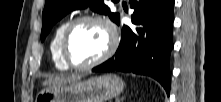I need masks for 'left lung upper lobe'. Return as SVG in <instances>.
<instances>
[{
	"label": "left lung upper lobe",
	"mask_w": 221,
	"mask_h": 102,
	"mask_svg": "<svg viewBox=\"0 0 221 102\" xmlns=\"http://www.w3.org/2000/svg\"><path fill=\"white\" fill-rule=\"evenodd\" d=\"M88 6L95 12L108 14L112 21L119 24V15L117 13H111L103 0H46L42 14L43 27L41 40L43 41L45 39L52 26L67 13Z\"/></svg>",
	"instance_id": "5c2ea615"
}]
</instances>
